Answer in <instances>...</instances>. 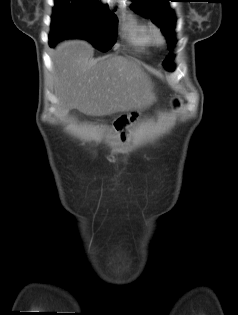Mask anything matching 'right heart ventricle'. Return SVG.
Instances as JSON below:
<instances>
[{"label":"right heart ventricle","mask_w":238,"mask_h":315,"mask_svg":"<svg viewBox=\"0 0 238 315\" xmlns=\"http://www.w3.org/2000/svg\"><path fill=\"white\" fill-rule=\"evenodd\" d=\"M129 39L139 46H149L154 42L151 27L136 18H131L126 27Z\"/></svg>","instance_id":"obj_1"}]
</instances>
